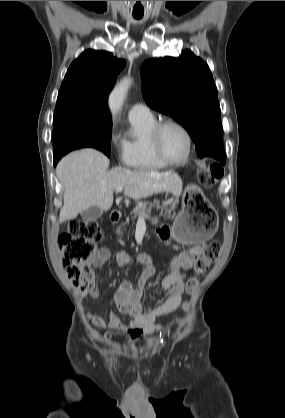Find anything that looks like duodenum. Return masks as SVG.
I'll list each match as a JSON object with an SVG mask.
<instances>
[{"instance_id": "obj_1", "label": "duodenum", "mask_w": 285, "mask_h": 418, "mask_svg": "<svg viewBox=\"0 0 285 418\" xmlns=\"http://www.w3.org/2000/svg\"><path fill=\"white\" fill-rule=\"evenodd\" d=\"M121 217H122V212L120 210L115 209L112 211L111 218L114 222L120 221Z\"/></svg>"}]
</instances>
